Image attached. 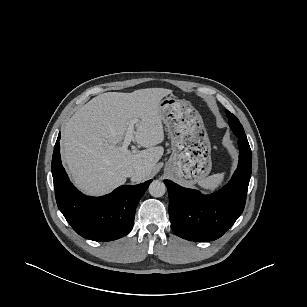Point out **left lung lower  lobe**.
Returning a JSON list of instances; mask_svg holds the SVG:
<instances>
[{"label": "left lung lower lobe", "instance_id": "left-lung-lower-lobe-1", "mask_svg": "<svg viewBox=\"0 0 307 307\" xmlns=\"http://www.w3.org/2000/svg\"><path fill=\"white\" fill-rule=\"evenodd\" d=\"M237 170L220 191L202 195L165 180L169 193L171 229L181 238L205 242L220 238L241 215L251 177L252 153L248 140L239 138Z\"/></svg>", "mask_w": 307, "mask_h": 307}]
</instances>
